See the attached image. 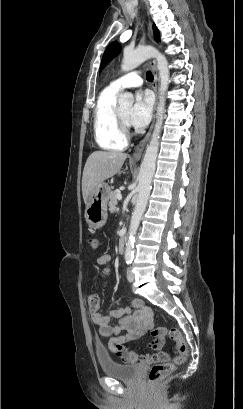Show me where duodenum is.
<instances>
[{"instance_id":"1","label":"duodenum","mask_w":243,"mask_h":409,"mask_svg":"<svg viewBox=\"0 0 243 409\" xmlns=\"http://www.w3.org/2000/svg\"><path fill=\"white\" fill-rule=\"evenodd\" d=\"M126 237L127 233L124 231L119 239L118 250L120 253H124L126 249Z\"/></svg>"}]
</instances>
